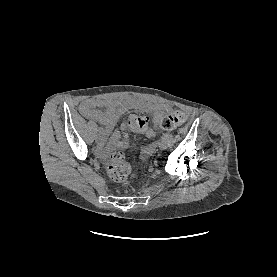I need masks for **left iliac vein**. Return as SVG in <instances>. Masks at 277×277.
Returning a JSON list of instances; mask_svg holds the SVG:
<instances>
[{
	"label": "left iliac vein",
	"instance_id": "left-iliac-vein-1",
	"mask_svg": "<svg viewBox=\"0 0 277 277\" xmlns=\"http://www.w3.org/2000/svg\"><path fill=\"white\" fill-rule=\"evenodd\" d=\"M158 148L160 150H164L167 148V144L165 142H160L159 145H158Z\"/></svg>",
	"mask_w": 277,
	"mask_h": 277
}]
</instances>
